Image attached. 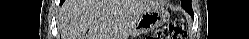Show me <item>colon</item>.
Instances as JSON below:
<instances>
[{
    "instance_id": "5ec220e1",
    "label": "colon",
    "mask_w": 249,
    "mask_h": 39,
    "mask_svg": "<svg viewBox=\"0 0 249 39\" xmlns=\"http://www.w3.org/2000/svg\"><path fill=\"white\" fill-rule=\"evenodd\" d=\"M187 38V30L185 28L184 19H178L160 27L152 35L146 39H185Z\"/></svg>"
}]
</instances>
